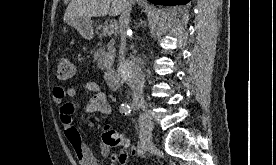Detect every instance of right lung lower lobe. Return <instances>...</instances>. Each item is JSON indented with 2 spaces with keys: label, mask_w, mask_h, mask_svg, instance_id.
I'll return each instance as SVG.
<instances>
[{
  "label": "right lung lower lobe",
  "mask_w": 276,
  "mask_h": 165,
  "mask_svg": "<svg viewBox=\"0 0 276 165\" xmlns=\"http://www.w3.org/2000/svg\"><path fill=\"white\" fill-rule=\"evenodd\" d=\"M154 4H159V5H183L188 3L190 0H149Z\"/></svg>",
  "instance_id": "right-lung-lower-lobe-1"
}]
</instances>
